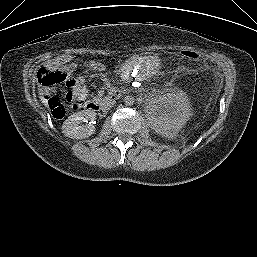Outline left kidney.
Here are the masks:
<instances>
[{
  "mask_svg": "<svg viewBox=\"0 0 257 257\" xmlns=\"http://www.w3.org/2000/svg\"><path fill=\"white\" fill-rule=\"evenodd\" d=\"M152 128L158 134L174 137L192 116L189 98L183 91H175L154 99L148 107Z\"/></svg>",
  "mask_w": 257,
  "mask_h": 257,
  "instance_id": "obj_1",
  "label": "left kidney"
}]
</instances>
